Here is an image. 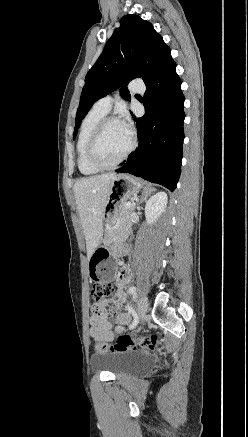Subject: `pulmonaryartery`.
<instances>
[{
    "label": "pulmonary artery",
    "instance_id": "1",
    "mask_svg": "<svg viewBox=\"0 0 248 437\" xmlns=\"http://www.w3.org/2000/svg\"><path fill=\"white\" fill-rule=\"evenodd\" d=\"M129 89L133 92L141 93L145 90V86L141 80L134 79L130 82ZM112 103H113V96L107 95L97 100L93 108L107 114L111 109Z\"/></svg>",
    "mask_w": 248,
    "mask_h": 437
}]
</instances>
